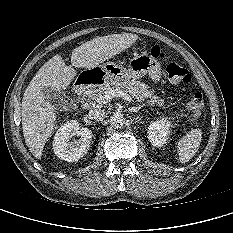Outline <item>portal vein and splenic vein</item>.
I'll return each mask as SVG.
<instances>
[{
  "label": "portal vein and splenic vein",
  "mask_w": 233,
  "mask_h": 233,
  "mask_svg": "<svg viewBox=\"0 0 233 233\" xmlns=\"http://www.w3.org/2000/svg\"><path fill=\"white\" fill-rule=\"evenodd\" d=\"M115 97H121L125 99L126 101L133 102V99L130 95H128L124 91L117 89V88L106 91L104 94L100 95L97 100H98V103L105 104Z\"/></svg>",
  "instance_id": "18ae733b"
}]
</instances>
